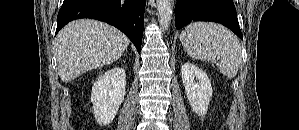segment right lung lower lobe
<instances>
[{
    "label": "right lung lower lobe",
    "instance_id": "obj_1",
    "mask_svg": "<svg viewBox=\"0 0 299 130\" xmlns=\"http://www.w3.org/2000/svg\"><path fill=\"white\" fill-rule=\"evenodd\" d=\"M145 2L146 0H64L57 16L56 33L76 19L101 20L125 33L140 53Z\"/></svg>",
    "mask_w": 299,
    "mask_h": 130
}]
</instances>
